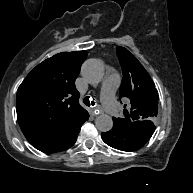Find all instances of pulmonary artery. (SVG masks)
I'll return each mask as SVG.
<instances>
[{
  "mask_svg": "<svg viewBox=\"0 0 193 193\" xmlns=\"http://www.w3.org/2000/svg\"><path fill=\"white\" fill-rule=\"evenodd\" d=\"M118 84L119 78L116 76L115 70L112 69L106 75L105 80L102 83V99L108 112H112L113 110V97Z\"/></svg>",
  "mask_w": 193,
  "mask_h": 193,
  "instance_id": "1",
  "label": "pulmonary artery"
}]
</instances>
